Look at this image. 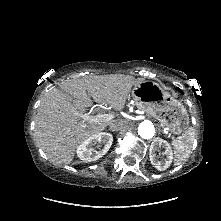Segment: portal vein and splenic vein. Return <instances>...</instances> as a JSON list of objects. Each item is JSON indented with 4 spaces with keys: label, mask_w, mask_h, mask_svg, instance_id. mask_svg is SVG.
<instances>
[{
    "label": "portal vein and splenic vein",
    "mask_w": 221,
    "mask_h": 221,
    "mask_svg": "<svg viewBox=\"0 0 221 221\" xmlns=\"http://www.w3.org/2000/svg\"><path fill=\"white\" fill-rule=\"evenodd\" d=\"M83 121H110L115 116L114 114L108 113V114H99L96 116H90L88 114H82L80 115Z\"/></svg>",
    "instance_id": "18ae733b"
}]
</instances>
